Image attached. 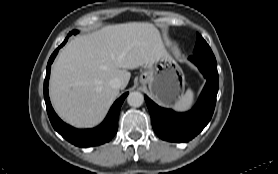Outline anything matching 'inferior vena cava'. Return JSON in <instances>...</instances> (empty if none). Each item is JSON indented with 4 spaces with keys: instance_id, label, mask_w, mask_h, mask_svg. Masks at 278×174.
<instances>
[{
    "instance_id": "1",
    "label": "inferior vena cava",
    "mask_w": 278,
    "mask_h": 174,
    "mask_svg": "<svg viewBox=\"0 0 278 174\" xmlns=\"http://www.w3.org/2000/svg\"><path fill=\"white\" fill-rule=\"evenodd\" d=\"M109 85L114 89H122V81L119 78H113Z\"/></svg>"
}]
</instances>
